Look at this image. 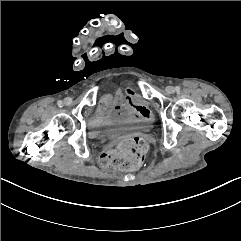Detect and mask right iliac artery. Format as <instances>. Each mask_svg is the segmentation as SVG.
<instances>
[{
    "instance_id": "right-iliac-artery-1",
    "label": "right iliac artery",
    "mask_w": 241,
    "mask_h": 241,
    "mask_svg": "<svg viewBox=\"0 0 241 241\" xmlns=\"http://www.w3.org/2000/svg\"><path fill=\"white\" fill-rule=\"evenodd\" d=\"M57 104H58L59 107H62V106H63V102L60 101V100L57 102Z\"/></svg>"
}]
</instances>
